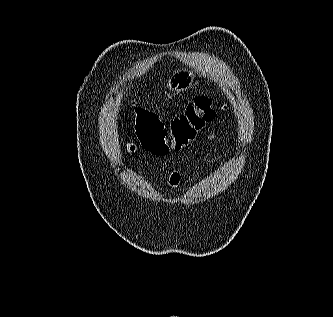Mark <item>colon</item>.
Returning <instances> with one entry per match:
<instances>
[{"label": "colon", "instance_id": "obj_1", "mask_svg": "<svg viewBox=\"0 0 333 317\" xmlns=\"http://www.w3.org/2000/svg\"><path fill=\"white\" fill-rule=\"evenodd\" d=\"M134 113L142 148L152 155L165 156L191 144L205 125L216 118L217 108L209 97L197 96L167 127L148 108L135 105Z\"/></svg>", "mask_w": 333, "mask_h": 317}]
</instances>
